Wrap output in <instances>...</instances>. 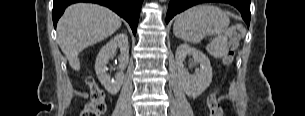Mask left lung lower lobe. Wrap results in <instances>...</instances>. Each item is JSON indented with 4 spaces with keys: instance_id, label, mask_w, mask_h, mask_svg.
<instances>
[{
    "instance_id": "0a47b994",
    "label": "left lung lower lobe",
    "mask_w": 305,
    "mask_h": 116,
    "mask_svg": "<svg viewBox=\"0 0 305 116\" xmlns=\"http://www.w3.org/2000/svg\"><path fill=\"white\" fill-rule=\"evenodd\" d=\"M205 2H224L235 6L241 12L243 19L249 26L250 0H171L166 15V23H168L173 16L184 11L185 9Z\"/></svg>"
}]
</instances>
